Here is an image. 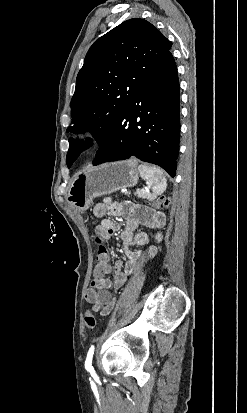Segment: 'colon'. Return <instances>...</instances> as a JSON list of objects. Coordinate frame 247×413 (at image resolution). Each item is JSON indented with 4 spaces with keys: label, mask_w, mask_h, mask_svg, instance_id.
Listing matches in <instances>:
<instances>
[{
    "label": "colon",
    "mask_w": 247,
    "mask_h": 413,
    "mask_svg": "<svg viewBox=\"0 0 247 413\" xmlns=\"http://www.w3.org/2000/svg\"><path fill=\"white\" fill-rule=\"evenodd\" d=\"M144 201H147L149 204L159 205L160 209H166L171 205L170 198L165 196L159 197L154 202H150L148 200ZM92 240L94 242H97L98 245L102 244L101 235L99 233H94L92 235ZM97 258L98 259L92 263V272L94 274H99L102 270V273L106 274L107 270L109 269L108 260L110 258V253L109 249L105 245H102L98 249ZM84 324L88 330H94V328L96 327V317L89 310L85 311L84 313Z\"/></svg>",
    "instance_id": "obj_1"
}]
</instances>
